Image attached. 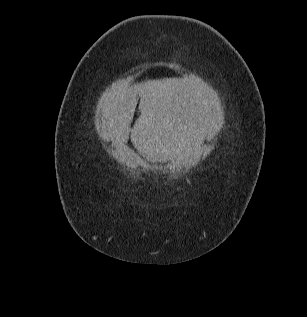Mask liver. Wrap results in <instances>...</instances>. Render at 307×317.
Wrapping results in <instances>:
<instances>
[{
	"label": "liver",
	"mask_w": 307,
	"mask_h": 317,
	"mask_svg": "<svg viewBox=\"0 0 307 317\" xmlns=\"http://www.w3.org/2000/svg\"><path fill=\"white\" fill-rule=\"evenodd\" d=\"M141 115L130 128L137 97ZM100 109L112 140L126 142L129 134L140 158L167 161L203 149L211 107L201 88L178 78L141 82L127 90L106 94Z\"/></svg>",
	"instance_id": "obj_1"
}]
</instances>
